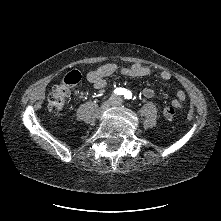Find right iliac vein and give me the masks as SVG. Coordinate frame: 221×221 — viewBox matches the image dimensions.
Instances as JSON below:
<instances>
[{"mask_svg":"<svg viewBox=\"0 0 221 221\" xmlns=\"http://www.w3.org/2000/svg\"><path fill=\"white\" fill-rule=\"evenodd\" d=\"M110 106V102H106L104 105H103V109H106Z\"/></svg>","mask_w":221,"mask_h":221,"instance_id":"63e3f726","label":"right iliac vein"}]
</instances>
